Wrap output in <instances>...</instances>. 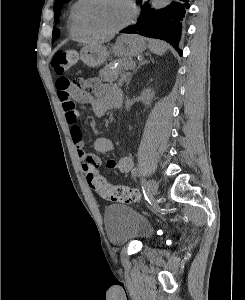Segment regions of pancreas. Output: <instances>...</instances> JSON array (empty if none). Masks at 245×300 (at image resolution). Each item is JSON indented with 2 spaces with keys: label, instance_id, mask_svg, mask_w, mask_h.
Here are the masks:
<instances>
[{
  "label": "pancreas",
  "instance_id": "obj_1",
  "mask_svg": "<svg viewBox=\"0 0 245 300\" xmlns=\"http://www.w3.org/2000/svg\"><path fill=\"white\" fill-rule=\"evenodd\" d=\"M133 62L131 60H117L106 65L102 70L99 71V76L105 82L112 83L118 79V84L122 85V83L126 80L125 71L129 68V64ZM118 63V67L115 68V64Z\"/></svg>",
  "mask_w": 245,
  "mask_h": 300
}]
</instances>
